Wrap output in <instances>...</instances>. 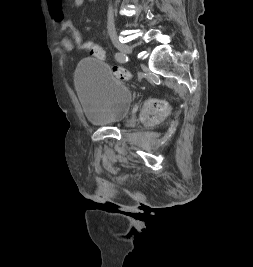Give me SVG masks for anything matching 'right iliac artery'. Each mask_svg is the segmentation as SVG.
<instances>
[{
    "label": "right iliac artery",
    "mask_w": 253,
    "mask_h": 267,
    "mask_svg": "<svg viewBox=\"0 0 253 267\" xmlns=\"http://www.w3.org/2000/svg\"><path fill=\"white\" fill-rule=\"evenodd\" d=\"M115 59L120 63H125L128 61V57L125 54L120 53V52L115 54Z\"/></svg>",
    "instance_id": "82829eb1"
}]
</instances>
